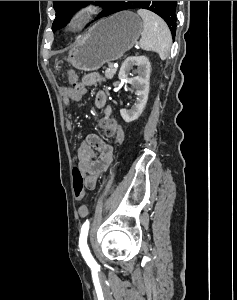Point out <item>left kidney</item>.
<instances>
[{
    "instance_id": "5707ae66",
    "label": "left kidney",
    "mask_w": 237,
    "mask_h": 300,
    "mask_svg": "<svg viewBox=\"0 0 237 300\" xmlns=\"http://www.w3.org/2000/svg\"><path fill=\"white\" fill-rule=\"evenodd\" d=\"M133 67H138L136 71L138 77L128 79V83L135 89L136 101L133 107L128 109V111L127 109H121L120 111V115L126 123L136 121V119L142 115L148 101L151 69L149 59H147V57H127L119 71V79H127V73L131 71Z\"/></svg>"
}]
</instances>
